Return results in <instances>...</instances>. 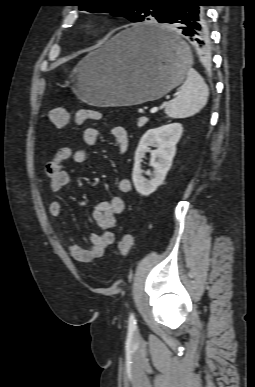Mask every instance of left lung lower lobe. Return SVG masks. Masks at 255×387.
Wrapping results in <instances>:
<instances>
[{"label":"left lung lower lobe","instance_id":"obj_1","mask_svg":"<svg viewBox=\"0 0 255 387\" xmlns=\"http://www.w3.org/2000/svg\"><path fill=\"white\" fill-rule=\"evenodd\" d=\"M207 0H181L172 2L167 8L163 23H178L181 33L189 36L197 51L207 55L210 48L209 35L205 24L203 6H209ZM146 40L159 45L166 51L174 52L177 45L171 34L164 30H150L143 32Z\"/></svg>","mask_w":255,"mask_h":387}]
</instances>
